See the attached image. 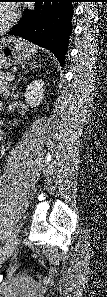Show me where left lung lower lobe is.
Returning <instances> with one entry per match:
<instances>
[{
    "label": "left lung lower lobe",
    "instance_id": "1",
    "mask_svg": "<svg viewBox=\"0 0 107 297\" xmlns=\"http://www.w3.org/2000/svg\"><path fill=\"white\" fill-rule=\"evenodd\" d=\"M35 2L25 9L23 18L8 32L50 50L63 65L68 37L72 30L74 0H23Z\"/></svg>",
    "mask_w": 107,
    "mask_h": 297
}]
</instances>
